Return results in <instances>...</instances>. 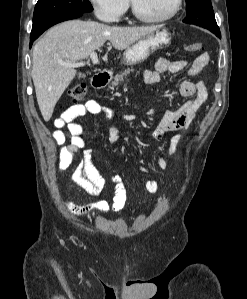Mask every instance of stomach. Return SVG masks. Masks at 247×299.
<instances>
[{"mask_svg":"<svg viewBox=\"0 0 247 299\" xmlns=\"http://www.w3.org/2000/svg\"><path fill=\"white\" fill-rule=\"evenodd\" d=\"M170 43L171 34L169 30L160 27L128 47L124 53L123 61L126 65L141 63L156 50L167 47Z\"/></svg>","mask_w":247,"mask_h":299,"instance_id":"obj_1","label":"stomach"}]
</instances>
